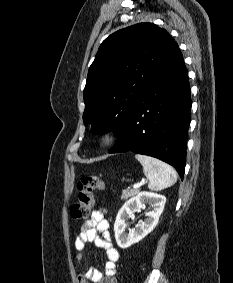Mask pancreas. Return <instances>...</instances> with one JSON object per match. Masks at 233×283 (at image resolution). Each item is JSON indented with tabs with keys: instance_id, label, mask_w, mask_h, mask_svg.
Segmentation results:
<instances>
[{
	"instance_id": "pancreas-1",
	"label": "pancreas",
	"mask_w": 233,
	"mask_h": 283,
	"mask_svg": "<svg viewBox=\"0 0 233 283\" xmlns=\"http://www.w3.org/2000/svg\"><path fill=\"white\" fill-rule=\"evenodd\" d=\"M138 192H139L138 189L123 190L121 199L122 200H126V199H128L130 197H134L135 195L138 194Z\"/></svg>"
}]
</instances>
